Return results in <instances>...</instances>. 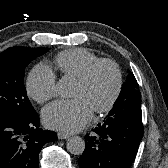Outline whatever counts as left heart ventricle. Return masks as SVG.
Instances as JSON below:
<instances>
[{
    "instance_id": "1",
    "label": "left heart ventricle",
    "mask_w": 168,
    "mask_h": 168,
    "mask_svg": "<svg viewBox=\"0 0 168 168\" xmlns=\"http://www.w3.org/2000/svg\"><path fill=\"white\" fill-rule=\"evenodd\" d=\"M114 87V72L107 66H100L87 84L76 81L72 96L84 98L92 109L103 105L110 97Z\"/></svg>"
}]
</instances>
